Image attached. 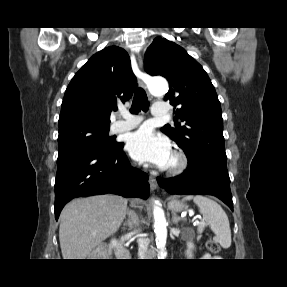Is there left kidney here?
Instances as JSON below:
<instances>
[{
  "label": "left kidney",
  "mask_w": 287,
  "mask_h": 287,
  "mask_svg": "<svg viewBox=\"0 0 287 287\" xmlns=\"http://www.w3.org/2000/svg\"><path fill=\"white\" fill-rule=\"evenodd\" d=\"M194 249V244L193 242H187V251H186V255L188 256V258L192 257V250Z\"/></svg>",
  "instance_id": "5707ae66"
}]
</instances>
